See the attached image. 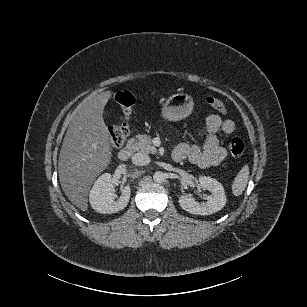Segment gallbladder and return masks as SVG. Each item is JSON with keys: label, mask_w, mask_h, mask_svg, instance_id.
<instances>
[{"label": "gallbladder", "mask_w": 307, "mask_h": 307, "mask_svg": "<svg viewBox=\"0 0 307 307\" xmlns=\"http://www.w3.org/2000/svg\"><path fill=\"white\" fill-rule=\"evenodd\" d=\"M112 115H113V112H112L111 110H108V111L106 112L105 119H106L107 121H110V120L112 119Z\"/></svg>", "instance_id": "gallbladder-1"}]
</instances>
